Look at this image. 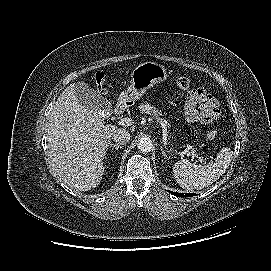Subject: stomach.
I'll return each instance as SVG.
<instances>
[{
  "mask_svg": "<svg viewBox=\"0 0 271 271\" xmlns=\"http://www.w3.org/2000/svg\"><path fill=\"white\" fill-rule=\"evenodd\" d=\"M167 79V71L156 62H145L131 72V81L127 89L119 95L118 102L131 105L153 85Z\"/></svg>",
  "mask_w": 271,
  "mask_h": 271,
  "instance_id": "1",
  "label": "stomach"
}]
</instances>
